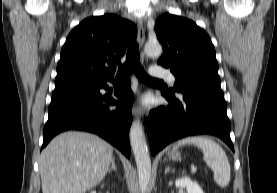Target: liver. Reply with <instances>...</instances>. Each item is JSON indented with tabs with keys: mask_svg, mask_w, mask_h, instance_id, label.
<instances>
[{
	"mask_svg": "<svg viewBox=\"0 0 277 193\" xmlns=\"http://www.w3.org/2000/svg\"><path fill=\"white\" fill-rule=\"evenodd\" d=\"M112 159V146L97 135L64 132L42 151V192L85 193L103 180Z\"/></svg>",
	"mask_w": 277,
	"mask_h": 193,
	"instance_id": "6515ba94",
	"label": "liver"
}]
</instances>
